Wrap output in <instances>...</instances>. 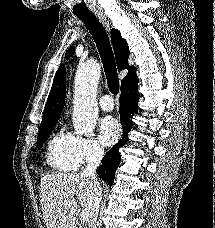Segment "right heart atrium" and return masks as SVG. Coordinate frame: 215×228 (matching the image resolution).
<instances>
[{
  "mask_svg": "<svg viewBox=\"0 0 215 228\" xmlns=\"http://www.w3.org/2000/svg\"><path fill=\"white\" fill-rule=\"evenodd\" d=\"M106 147L101 140L94 137L78 138V155L80 163L91 164L102 160Z\"/></svg>",
  "mask_w": 215,
  "mask_h": 228,
  "instance_id": "obj_1",
  "label": "right heart atrium"
}]
</instances>
